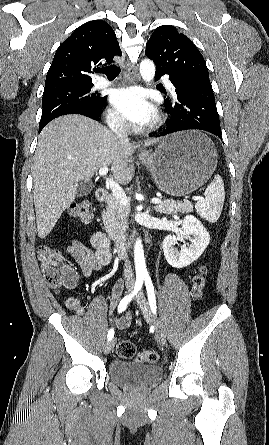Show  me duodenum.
Returning a JSON list of instances; mask_svg holds the SVG:
<instances>
[{"label": "duodenum", "mask_w": 269, "mask_h": 445, "mask_svg": "<svg viewBox=\"0 0 269 445\" xmlns=\"http://www.w3.org/2000/svg\"><path fill=\"white\" fill-rule=\"evenodd\" d=\"M96 198L98 201L103 202L108 198V192L103 189L99 188L96 191ZM116 252L119 256L125 258L128 255V246L125 241H118L115 244Z\"/></svg>", "instance_id": "1"}]
</instances>
